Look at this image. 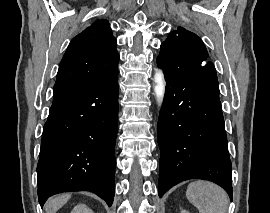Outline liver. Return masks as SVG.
Returning a JSON list of instances; mask_svg holds the SVG:
<instances>
[{
    "instance_id": "liver-1",
    "label": "liver",
    "mask_w": 270,
    "mask_h": 213,
    "mask_svg": "<svg viewBox=\"0 0 270 213\" xmlns=\"http://www.w3.org/2000/svg\"><path fill=\"white\" fill-rule=\"evenodd\" d=\"M71 197L70 194H62L50 198L45 204L46 213H56Z\"/></svg>"
}]
</instances>
